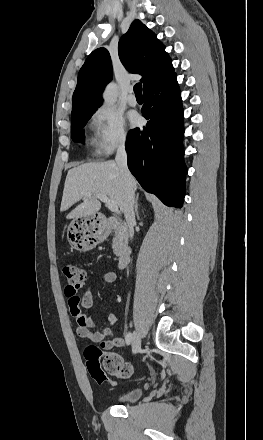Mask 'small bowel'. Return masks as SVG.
Returning <instances> with one entry per match:
<instances>
[{
  "label": "small bowel",
  "instance_id": "1",
  "mask_svg": "<svg viewBox=\"0 0 263 440\" xmlns=\"http://www.w3.org/2000/svg\"><path fill=\"white\" fill-rule=\"evenodd\" d=\"M116 279L117 274L114 271H107L103 274V281L106 284H114ZM82 288H85V291L82 296H78V292ZM92 289L93 286L91 283L86 285L82 284L78 288L66 287L70 313L76 321V333L80 338L90 343H97L103 349L120 348L124 344L123 338L119 336L110 338L112 327L118 321V315L116 313L109 314V327L104 330L97 329L93 319L84 313V310L89 309L93 305Z\"/></svg>",
  "mask_w": 263,
  "mask_h": 440
}]
</instances>
